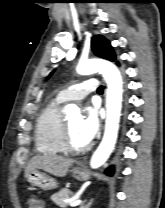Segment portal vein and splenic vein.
Masks as SVG:
<instances>
[{
  "label": "portal vein and splenic vein",
  "instance_id": "1",
  "mask_svg": "<svg viewBox=\"0 0 165 208\" xmlns=\"http://www.w3.org/2000/svg\"><path fill=\"white\" fill-rule=\"evenodd\" d=\"M66 203H69V205L71 207H75L77 205H79L81 203V200L80 199H70V200H65Z\"/></svg>",
  "mask_w": 165,
  "mask_h": 208
}]
</instances>
